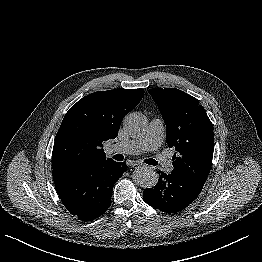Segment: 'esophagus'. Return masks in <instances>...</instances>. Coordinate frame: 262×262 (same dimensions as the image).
I'll list each match as a JSON object with an SVG mask.
<instances>
[{
	"mask_svg": "<svg viewBox=\"0 0 262 262\" xmlns=\"http://www.w3.org/2000/svg\"><path fill=\"white\" fill-rule=\"evenodd\" d=\"M131 166L135 169H139L141 167H146L145 165L141 164L140 162H133Z\"/></svg>",
	"mask_w": 262,
	"mask_h": 262,
	"instance_id": "esophagus-1",
	"label": "esophagus"
}]
</instances>
